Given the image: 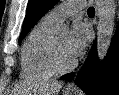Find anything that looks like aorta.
<instances>
[{
    "instance_id": "762f6f07",
    "label": "aorta",
    "mask_w": 119,
    "mask_h": 95,
    "mask_svg": "<svg viewBox=\"0 0 119 95\" xmlns=\"http://www.w3.org/2000/svg\"><path fill=\"white\" fill-rule=\"evenodd\" d=\"M98 8L97 55L100 61L106 57L114 29L115 4L113 0H95ZM60 31H67L66 24L58 26Z\"/></svg>"
}]
</instances>
